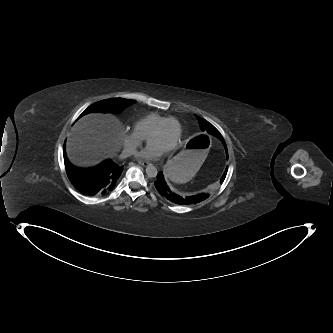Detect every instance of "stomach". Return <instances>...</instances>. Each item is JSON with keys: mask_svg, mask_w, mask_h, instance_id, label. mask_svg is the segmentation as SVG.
Here are the masks:
<instances>
[{"mask_svg": "<svg viewBox=\"0 0 333 333\" xmlns=\"http://www.w3.org/2000/svg\"><path fill=\"white\" fill-rule=\"evenodd\" d=\"M210 148V137L207 134H197L185 139L176 155L161 165V180L169 185L189 181L206 159Z\"/></svg>", "mask_w": 333, "mask_h": 333, "instance_id": "0dacf381", "label": "stomach"}]
</instances>
